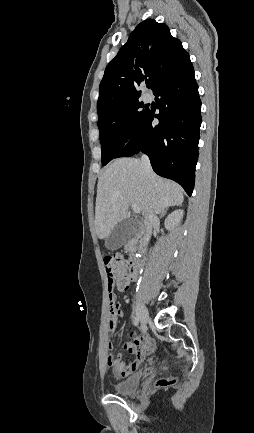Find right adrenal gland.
I'll list each match as a JSON object with an SVG mask.
<instances>
[{
  "label": "right adrenal gland",
  "instance_id": "right-adrenal-gland-1",
  "mask_svg": "<svg viewBox=\"0 0 254 433\" xmlns=\"http://www.w3.org/2000/svg\"><path fill=\"white\" fill-rule=\"evenodd\" d=\"M166 210H167V208H166L165 210H163V211L161 212V215H160V217H162V216H164V215H165V213H166Z\"/></svg>",
  "mask_w": 254,
  "mask_h": 433
}]
</instances>
